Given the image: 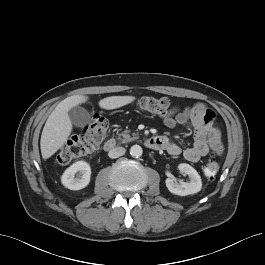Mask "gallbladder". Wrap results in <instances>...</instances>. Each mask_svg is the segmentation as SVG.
<instances>
[{
	"label": "gallbladder",
	"instance_id": "obj_1",
	"mask_svg": "<svg viewBox=\"0 0 265 265\" xmlns=\"http://www.w3.org/2000/svg\"><path fill=\"white\" fill-rule=\"evenodd\" d=\"M72 124L76 127H84L90 122L89 112L80 106L73 107L68 112Z\"/></svg>",
	"mask_w": 265,
	"mask_h": 265
}]
</instances>
